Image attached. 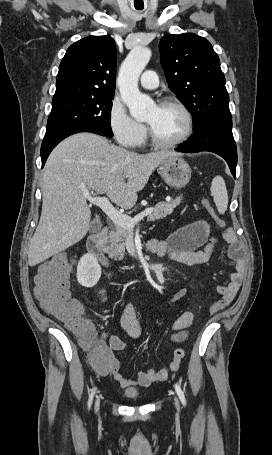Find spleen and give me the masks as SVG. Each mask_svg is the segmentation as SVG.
<instances>
[{
    "mask_svg": "<svg viewBox=\"0 0 272 455\" xmlns=\"http://www.w3.org/2000/svg\"><path fill=\"white\" fill-rule=\"evenodd\" d=\"M211 195L220 214H224L228 206V193L226 184L221 176H215L211 184Z\"/></svg>",
    "mask_w": 272,
    "mask_h": 455,
    "instance_id": "1",
    "label": "spleen"
}]
</instances>
